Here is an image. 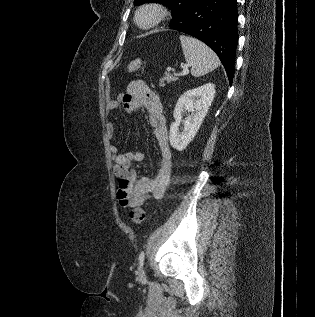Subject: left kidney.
I'll list each match as a JSON object with an SVG mask.
<instances>
[{
    "label": "left kidney",
    "mask_w": 315,
    "mask_h": 317,
    "mask_svg": "<svg viewBox=\"0 0 315 317\" xmlns=\"http://www.w3.org/2000/svg\"><path fill=\"white\" fill-rule=\"evenodd\" d=\"M215 96V85L207 83L183 93L178 99L174 109L175 122L170 126L169 141L170 145L182 151L195 137L199 127L204 120L209 107ZM191 114L182 120L183 114ZM183 122L184 130L179 133L180 123Z\"/></svg>",
    "instance_id": "left-kidney-1"
}]
</instances>
